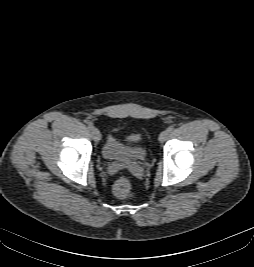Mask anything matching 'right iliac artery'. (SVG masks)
Instances as JSON below:
<instances>
[{
  "instance_id": "obj_1",
  "label": "right iliac artery",
  "mask_w": 254,
  "mask_h": 267,
  "mask_svg": "<svg viewBox=\"0 0 254 267\" xmlns=\"http://www.w3.org/2000/svg\"><path fill=\"white\" fill-rule=\"evenodd\" d=\"M87 127L92 130L93 129V125L91 123H88Z\"/></svg>"
}]
</instances>
